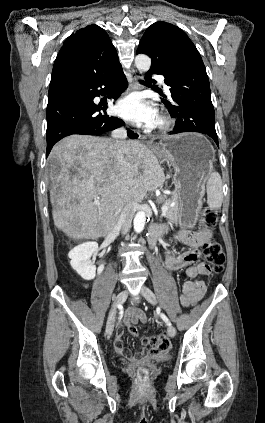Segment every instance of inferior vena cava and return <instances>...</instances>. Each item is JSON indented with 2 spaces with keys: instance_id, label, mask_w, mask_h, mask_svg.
I'll return each mask as SVG.
<instances>
[{
  "instance_id": "obj_1",
  "label": "inferior vena cava",
  "mask_w": 265,
  "mask_h": 423,
  "mask_svg": "<svg viewBox=\"0 0 265 423\" xmlns=\"http://www.w3.org/2000/svg\"><path fill=\"white\" fill-rule=\"evenodd\" d=\"M111 136L113 138V142L117 149V157L119 160H123L124 158V150L126 146L125 139L127 138V131L125 128L120 127L112 131ZM135 201L133 199L125 200L122 210L119 216V222L122 225V234H126L130 229L134 209H135Z\"/></svg>"
}]
</instances>
